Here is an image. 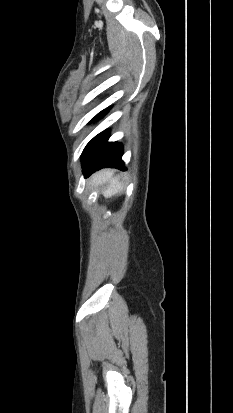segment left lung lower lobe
Here are the masks:
<instances>
[{
	"label": "left lung lower lobe",
	"instance_id": "0a47b994",
	"mask_svg": "<svg viewBox=\"0 0 233 413\" xmlns=\"http://www.w3.org/2000/svg\"><path fill=\"white\" fill-rule=\"evenodd\" d=\"M108 109L101 113L106 114ZM109 131L105 130L95 136L85 147L82 153L84 176L88 177L96 170L106 167H115L125 170L121 160L123 148L120 143L108 142Z\"/></svg>",
	"mask_w": 233,
	"mask_h": 413
}]
</instances>
